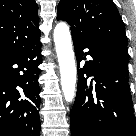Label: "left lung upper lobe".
Returning <instances> with one entry per match:
<instances>
[{"label": "left lung upper lobe", "mask_w": 136, "mask_h": 136, "mask_svg": "<svg viewBox=\"0 0 136 136\" xmlns=\"http://www.w3.org/2000/svg\"><path fill=\"white\" fill-rule=\"evenodd\" d=\"M57 19L70 25L72 37L110 47L128 57L123 21L112 0H60Z\"/></svg>", "instance_id": "5c2ea615"}]
</instances>
